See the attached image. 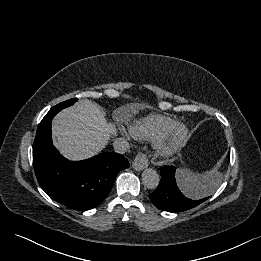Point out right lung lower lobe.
I'll return each mask as SVG.
<instances>
[{"label": "right lung lower lobe", "instance_id": "98d812e1", "mask_svg": "<svg viewBox=\"0 0 261 261\" xmlns=\"http://www.w3.org/2000/svg\"><path fill=\"white\" fill-rule=\"evenodd\" d=\"M50 110L40 122L33 144V166L41 188L57 202L77 210L99 205L109 194L117 174L129 162L117 153H102L83 161L65 159L53 146Z\"/></svg>", "mask_w": 261, "mask_h": 261}]
</instances>
